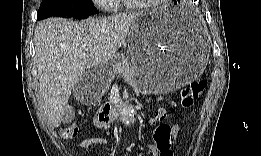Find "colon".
Here are the masks:
<instances>
[{
  "label": "colon",
  "mask_w": 261,
  "mask_h": 156,
  "mask_svg": "<svg viewBox=\"0 0 261 156\" xmlns=\"http://www.w3.org/2000/svg\"><path fill=\"white\" fill-rule=\"evenodd\" d=\"M206 87V81L196 80L187 86L180 99L174 100L172 106L175 108L181 107L189 109L193 106L194 100L198 98ZM166 109L159 108L154 114V119L161 121L166 117ZM109 122V106L103 107L96 116L95 123L98 129L103 128ZM79 135V128L74 125L67 126L62 131V136L65 139H73ZM170 127L168 125H160L155 133L154 140L164 155H170Z\"/></svg>",
  "instance_id": "1"
}]
</instances>
